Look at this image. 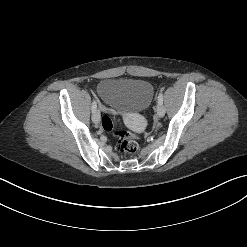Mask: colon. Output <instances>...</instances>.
I'll use <instances>...</instances> for the list:
<instances>
[{
  "instance_id": "1",
  "label": "colon",
  "mask_w": 247,
  "mask_h": 247,
  "mask_svg": "<svg viewBox=\"0 0 247 247\" xmlns=\"http://www.w3.org/2000/svg\"><path fill=\"white\" fill-rule=\"evenodd\" d=\"M102 128L107 132H112L117 138L116 149L121 153H134L138 150V143L134 135L127 131L114 130L113 120L109 115L102 117Z\"/></svg>"
}]
</instances>
